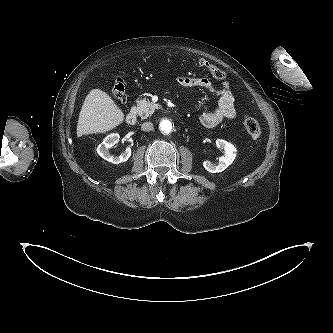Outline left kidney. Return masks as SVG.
<instances>
[{
    "instance_id": "obj_1",
    "label": "left kidney",
    "mask_w": 333,
    "mask_h": 333,
    "mask_svg": "<svg viewBox=\"0 0 333 333\" xmlns=\"http://www.w3.org/2000/svg\"><path fill=\"white\" fill-rule=\"evenodd\" d=\"M216 146L218 148H222L225 151V156L219 158V163L213 164L210 161H204L203 167L210 173H219L224 171L231 163L234 161L236 157V148L233 144L218 139L216 140Z\"/></svg>"
}]
</instances>
